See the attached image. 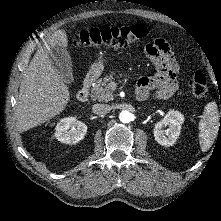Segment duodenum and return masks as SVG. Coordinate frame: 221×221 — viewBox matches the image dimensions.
I'll use <instances>...</instances> for the list:
<instances>
[{
    "mask_svg": "<svg viewBox=\"0 0 221 221\" xmlns=\"http://www.w3.org/2000/svg\"><path fill=\"white\" fill-rule=\"evenodd\" d=\"M97 76L95 73L91 72L86 75L83 81L81 89L77 93V99L79 102H86L90 94V88L93 82L96 80ZM139 98H143L138 95Z\"/></svg>",
    "mask_w": 221,
    "mask_h": 221,
    "instance_id": "1",
    "label": "duodenum"
}]
</instances>
